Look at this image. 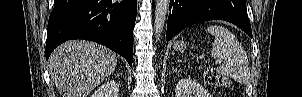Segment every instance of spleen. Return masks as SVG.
<instances>
[{"mask_svg":"<svg viewBox=\"0 0 302 97\" xmlns=\"http://www.w3.org/2000/svg\"><path fill=\"white\" fill-rule=\"evenodd\" d=\"M206 31L215 37L211 56L222 61L216 70L239 83H247L250 74L249 61L246 51L235 35L218 25H211Z\"/></svg>","mask_w":302,"mask_h":97,"instance_id":"1","label":"spleen"}]
</instances>
